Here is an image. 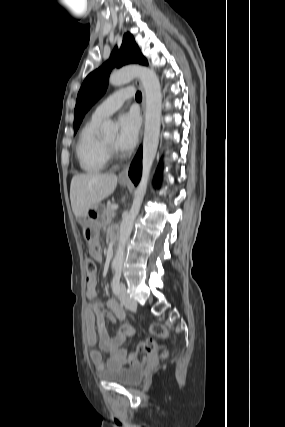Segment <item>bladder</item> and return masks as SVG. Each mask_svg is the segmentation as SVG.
Instances as JSON below:
<instances>
[{
    "label": "bladder",
    "mask_w": 285,
    "mask_h": 427,
    "mask_svg": "<svg viewBox=\"0 0 285 427\" xmlns=\"http://www.w3.org/2000/svg\"><path fill=\"white\" fill-rule=\"evenodd\" d=\"M141 365L115 367L98 373V377L106 382L118 383L123 386H134L143 378Z\"/></svg>",
    "instance_id": "1"
}]
</instances>
